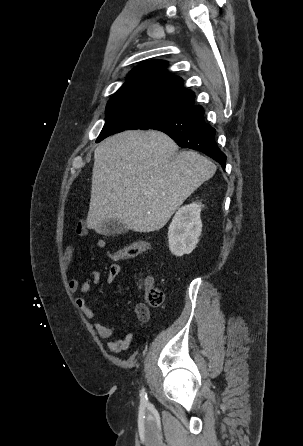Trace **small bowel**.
<instances>
[{
	"label": "small bowel",
	"instance_id": "c3829d8e",
	"mask_svg": "<svg viewBox=\"0 0 303 446\" xmlns=\"http://www.w3.org/2000/svg\"><path fill=\"white\" fill-rule=\"evenodd\" d=\"M88 233L87 225L84 221H80L76 228L77 236H85ZM97 246L100 249L105 248V241L103 239L97 240ZM74 254V246L69 244L64 251V264L68 268ZM121 273V266L114 263L110 266L106 277V282L112 284ZM101 275L98 271L90 273L88 278L83 282L79 279L72 278L68 281V288L72 293L78 292L76 304L80 312L87 318L93 319L96 317V312L87 304V295L92 286L97 287L100 284ZM133 312L140 324L146 323L151 316L150 307L145 303H138L134 306ZM93 328L95 332L102 338L106 339V347L111 352H119L127 349L133 340L131 333H125L122 337L113 340L115 329L113 327L105 326L101 323L94 322Z\"/></svg>",
	"mask_w": 303,
	"mask_h": 446
}]
</instances>
